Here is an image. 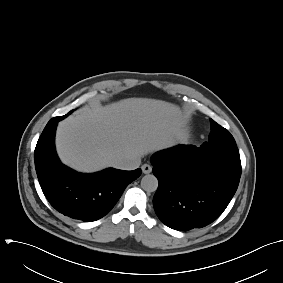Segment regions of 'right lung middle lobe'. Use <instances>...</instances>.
Segmentation results:
<instances>
[{"label": "right lung middle lobe", "mask_w": 283, "mask_h": 283, "mask_svg": "<svg viewBox=\"0 0 283 283\" xmlns=\"http://www.w3.org/2000/svg\"><path fill=\"white\" fill-rule=\"evenodd\" d=\"M73 112V110L72 111H70L68 114H66V115H64V116H59V118L60 119H64L65 117H67L70 113H72Z\"/></svg>", "instance_id": "obj_1"}]
</instances>
